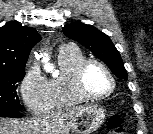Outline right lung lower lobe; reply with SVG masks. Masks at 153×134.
<instances>
[{"instance_id": "obj_1", "label": "right lung lower lobe", "mask_w": 153, "mask_h": 134, "mask_svg": "<svg viewBox=\"0 0 153 134\" xmlns=\"http://www.w3.org/2000/svg\"><path fill=\"white\" fill-rule=\"evenodd\" d=\"M21 116L22 114L16 110H8V109L0 110V117L19 118Z\"/></svg>"}]
</instances>
